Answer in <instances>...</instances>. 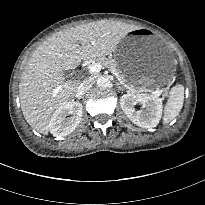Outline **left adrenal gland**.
Wrapping results in <instances>:
<instances>
[{
	"instance_id": "a2214340",
	"label": "left adrenal gland",
	"mask_w": 205,
	"mask_h": 205,
	"mask_svg": "<svg viewBox=\"0 0 205 205\" xmlns=\"http://www.w3.org/2000/svg\"><path fill=\"white\" fill-rule=\"evenodd\" d=\"M116 86L119 90L123 91L124 90V87H122L119 83H116Z\"/></svg>"
}]
</instances>
